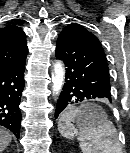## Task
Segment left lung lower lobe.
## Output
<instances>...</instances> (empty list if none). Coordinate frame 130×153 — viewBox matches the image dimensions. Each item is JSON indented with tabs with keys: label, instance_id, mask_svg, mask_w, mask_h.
I'll return each mask as SVG.
<instances>
[{
	"label": "left lung lower lobe",
	"instance_id": "left-lung-lower-lobe-1",
	"mask_svg": "<svg viewBox=\"0 0 130 153\" xmlns=\"http://www.w3.org/2000/svg\"><path fill=\"white\" fill-rule=\"evenodd\" d=\"M55 55L67 67L55 118L69 105L86 99L104 98L111 102L109 68L101 47L81 33L62 31Z\"/></svg>",
	"mask_w": 130,
	"mask_h": 153
}]
</instances>
